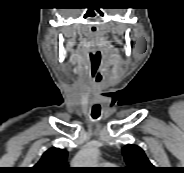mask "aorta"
Masks as SVG:
<instances>
[{"label": "aorta", "instance_id": "obj_1", "mask_svg": "<svg viewBox=\"0 0 184 173\" xmlns=\"http://www.w3.org/2000/svg\"><path fill=\"white\" fill-rule=\"evenodd\" d=\"M98 149L95 145H88L83 149L76 159L74 160L75 165H80L78 167H95L97 163Z\"/></svg>", "mask_w": 184, "mask_h": 173}]
</instances>
